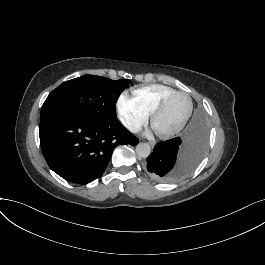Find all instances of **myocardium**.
Segmentation results:
<instances>
[{
    "mask_svg": "<svg viewBox=\"0 0 265 265\" xmlns=\"http://www.w3.org/2000/svg\"><path fill=\"white\" fill-rule=\"evenodd\" d=\"M177 94L185 95V93L183 91H175L174 90L172 92H169L168 94H166L165 96H163L162 98H160L158 100V102L156 103V105L152 111V119H151L152 126H153L154 130L156 131V133L161 137H168V136L173 135L176 132L180 131L186 125V123L188 122V120L191 116V113L193 110V105H192L191 99L186 95L185 98L187 100V106H186L185 113H184L182 119L179 121V123L176 126H174L173 128L168 129V130L161 131V130L157 129L156 120H157L158 114L160 113V111H161L162 107L165 105V103L171 97H173L174 95H177Z\"/></svg>",
    "mask_w": 265,
    "mask_h": 265,
    "instance_id": "obj_1",
    "label": "myocardium"
}]
</instances>
